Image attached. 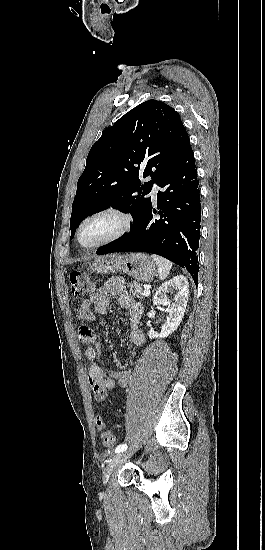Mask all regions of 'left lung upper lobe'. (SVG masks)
<instances>
[{
	"instance_id": "obj_1",
	"label": "left lung upper lobe",
	"mask_w": 265,
	"mask_h": 550,
	"mask_svg": "<svg viewBox=\"0 0 265 550\" xmlns=\"http://www.w3.org/2000/svg\"><path fill=\"white\" fill-rule=\"evenodd\" d=\"M190 144L187 131L170 106L148 100L104 130L87 156L78 179L70 219L71 238L89 215L117 208L131 213L135 228L151 206L153 183ZM152 180L141 184L139 173Z\"/></svg>"
}]
</instances>
